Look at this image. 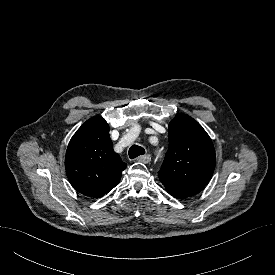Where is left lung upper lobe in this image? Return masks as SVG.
Instances as JSON below:
<instances>
[{"label":"left lung upper lobe","mask_w":275,"mask_h":275,"mask_svg":"<svg viewBox=\"0 0 275 275\" xmlns=\"http://www.w3.org/2000/svg\"><path fill=\"white\" fill-rule=\"evenodd\" d=\"M169 149L159 179L177 199L193 196L210 181L216 164L213 143L192 117L179 113L168 127Z\"/></svg>","instance_id":"left-lung-upper-lobe-1"}]
</instances>
